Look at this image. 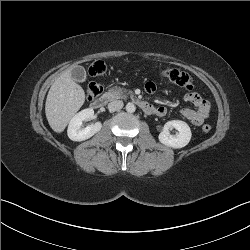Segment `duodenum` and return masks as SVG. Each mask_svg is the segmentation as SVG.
I'll list each match as a JSON object with an SVG mask.
<instances>
[{"mask_svg": "<svg viewBox=\"0 0 250 250\" xmlns=\"http://www.w3.org/2000/svg\"><path fill=\"white\" fill-rule=\"evenodd\" d=\"M111 100V95L110 94H103L99 97H97L96 99L93 100L92 102V106L94 108H102L104 107L109 101ZM133 101L143 110L144 113L148 114V115H153L156 114L157 110L156 108L143 101L140 100L138 98H133Z\"/></svg>", "mask_w": 250, "mask_h": 250, "instance_id": "1", "label": "duodenum"}]
</instances>
